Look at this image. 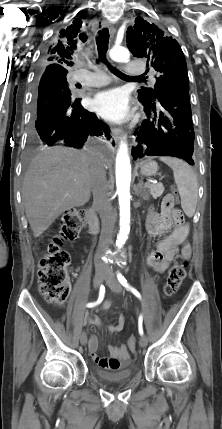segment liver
I'll list each match as a JSON object with an SVG mask.
<instances>
[{"label":"liver","mask_w":222,"mask_h":429,"mask_svg":"<svg viewBox=\"0 0 222 429\" xmlns=\"http://www.w3.org/2000/svg\"><path fill=\"white\" fill-rule=\"evenodd\" d=\"M96 149L87 152L52 147L31 162L23 182L22 200L35 237L40 236L65 211L90 199Z\"/></svg>","instance_id":"obj_1"}]
</instances>
